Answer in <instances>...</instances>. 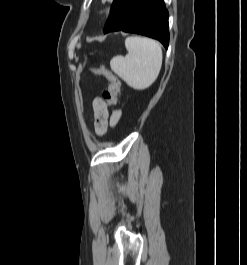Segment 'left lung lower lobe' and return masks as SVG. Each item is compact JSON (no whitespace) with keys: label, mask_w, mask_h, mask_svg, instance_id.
<instances>
[{"label":"left lung lower lobe","mask_w":247,"mask_h":265,"mask_svg":"<svg viewBox=\"0 0 247 265\" xmlns=\"http://www.w3.org/2000/svg\"><path fill=\"white\" fill-rule=\"evenodd\" d=\"M125 31L169 44L168 11L163 0H114L104 33Z\"/></svg>","instance_id":"obj_1"}]
</instances>
